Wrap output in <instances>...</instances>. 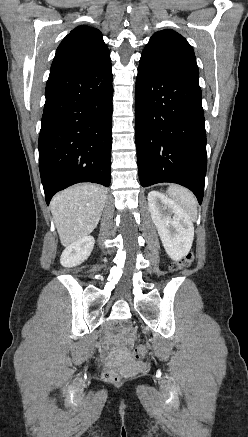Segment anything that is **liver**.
Wrapping results in <instances>:
<instances>
[{
  "instance_id": "obj_1",
  "label": "liver",
  "mask_w": 248,
  "mask_h": 437,
  "mask_svg": "<svg viewBox=\"0 0 248 437\" xmlns=\"http://www.w3.org/2000/svg\"><path fill=\"white\" fill-rule=\"evenodd\" d=\"M106 202V191L96 184H80L57 193L51 212L63 246L90 234L97 226Z\"/></svg>"
}]
</instances>
